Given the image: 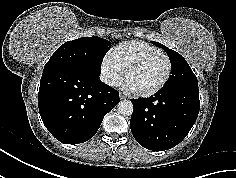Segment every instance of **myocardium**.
I'll return each instance as SVG.
<instances>
[{
	"label": "myocardium",
	"mask_w": 236,
	"mask_h": 178,
	"mask_svg": "<svg viewBox=\"0 0 236 178\" xmlns=\"http://www.w3.org/2000/svg\"><path fill=\"white\" fill-rule=\"evenodd\" d=\"M157 56H162L167 60L168 63V69H167V73L164 77V79L154 88L147 90V91H142V92H137V91H133L129 88L126 89L134 96L136 97H149L152 96L156 93H158L169 81L171 75H172V70H173V63L171 58L163 52H156V53H151L148 54L146 56L137 58L135 60H133L132 62H130L125 68H124V72H123V82L125 81V78L127 77V75L134 69H136L137 67L141 66L142 64H144L145 62H147L148 60L157 57Z\"/></svg>",
	"instance_id": "myocardium-1"
}]
</instances>
